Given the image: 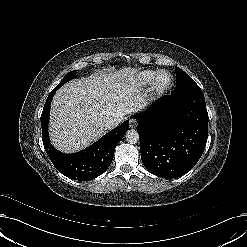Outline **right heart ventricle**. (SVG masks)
<instances>
[{"label": "right heart ventricle", "instance_id": "1", "mask_svg": "<svg viewBox=\"0 0 247 247\" xmlns=\"http://www.w3.org/2000/svg\"><path fill=\"white\" fill-rule=\"evenodd\" d=\"M159 71L155 70H144L138 74V80L142 85H149L154 80L155 76Z\"/></svg>", "mask_w": 247, "mask_h": 247}]
</instances>
